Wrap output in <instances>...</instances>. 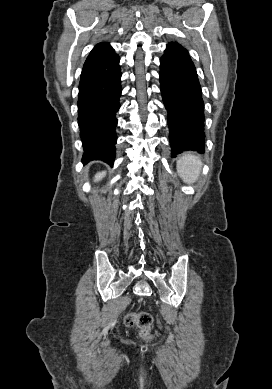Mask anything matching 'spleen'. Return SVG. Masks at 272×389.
I'll return each mask as SVG.
<instances>
[{"label": "spleen", "mask_w": 272, "mask_h": 389, "mask_svg": "<svg viewBox=\"0 0 272 389\" xmlns=\"http://www.w3.org/2000/svg\"><path fill=\"white\" fill-rule=\"evenodd\" d=\"M202 162L194 154H184L177 161V172L186 183L194 182L200 174Z\"/></svg>", "instance_id": "3e777b00"}]
</instances>
